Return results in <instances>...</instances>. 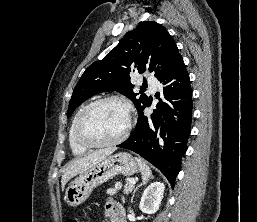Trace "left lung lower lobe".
<instances>
[{
  "instance_id": "1",
  "label": "left lung lower lobe",
  "mask_w": 257,
  "mask_h": 222,
  "mask_svg": "<svg viewBox=\"0 0 257 222\" xmlns=\"http://www.w3.org/2000/svg\"><path fill=\"white\" fill-rule=\"evenodd\" d=\"M160 81L169 83L163 90L165 101L160 100L151 118L144 116L146 106L141 109L134 132L117 147L131 150L152 163L173 187L181 157L187 150L192 121V90L183 59H179Z\"/></svg>"
}]
</instances>
